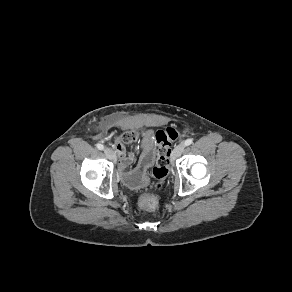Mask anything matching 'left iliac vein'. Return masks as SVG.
Listing matches in <instances>:
<instances>
[{"mask_svg":"<svg viewBox=\"0 0 292 292\" xmlns=\"http://www.w3.org/2000/svg\"><path fill=\"white\" fill-rule=\"evenodd\" d=\"M184 148H185V145L183 143L175 147L171 156L172 163H174V161L182 154V152L184 151Z\"/></svg>","mask_w":292,"mask_h":292,"instance_id":"4c4485c4","label":"left iliac vein"}]
</instances>
